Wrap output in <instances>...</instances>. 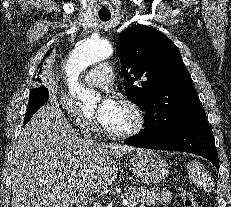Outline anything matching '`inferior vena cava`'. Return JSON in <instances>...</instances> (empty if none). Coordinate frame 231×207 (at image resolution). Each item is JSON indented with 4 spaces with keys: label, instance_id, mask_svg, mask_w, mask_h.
<instances>
[{
    "label": "inferior vena cava",
    "instance_id": "inferior-vena-cava-1",
    "mask_svg": "<svg viewBox=\"0 0 231 207\" xmlns=\"http://www.w3.org/2000/svg\"><path fill=\"white\" fill-rule=\"evenodd\" d=\"M81 132L83 134L84 141H85L86 144L90 145V144L95 143L94 140L91 137V132H90L89 127H82Z\"/></svg>",
    "mask_w": 231,
    "mask_h": 207
}]
</instances>
